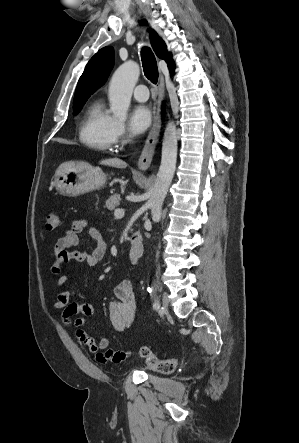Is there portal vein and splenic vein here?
I'll return each mask as SVG.
<instances>
[{"instance_id":"1","label":"portal vein and splenic vein","mask_w":299,"mask_h":443,"mask_svg":"<svg viewBox=\"0 0 299 443\" xmlns=\"http://www.w3.org/2000/svg\"><path fill=\"white\" fill-rule=\"evenodd\" d=\"M124 210L123 209H116L114 212V216L116 219H121L124 217Z\"/></svg>"}]
</instances>
